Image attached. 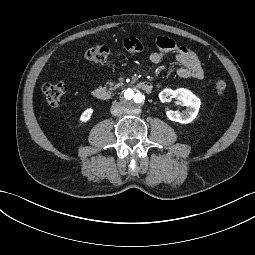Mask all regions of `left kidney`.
<instances>
[{"instance_id":"1","label":"left kidney","mask_w":255,"mask_h":255,"mask_svg":"<svg viewBox=\"0 0 255 255\" xmlns=\"http://www.w3.org/2000/svg\"><path fill=\"white\" fill-rule=\"evenodd\" d=\"M170 97L181 101L182 104L186 106V109L182 113L177 111H168L167 118L170 121L178 122L180 124L191 123L199 112L201 106L200 98L185 88H177L175 90L164 89L159 94V98L163 102L170 100Z\"/></svg>"}]
</instances>
